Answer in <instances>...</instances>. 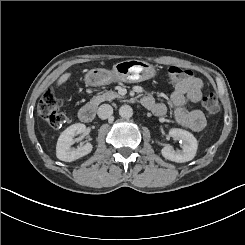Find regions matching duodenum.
<instances>
[{
    "mask_svg": "<svg viewBox=\"0 0 245 245\" xmlns=\"http://www.w3.org/2000/svg\"><path fill=\"white\" fill-rule=\"evenodd\" d=\"M96 115L95 107L87 104L79 110V118L83 122H91Z\"/></svg>",
    "mask_w": 245,
    "mask_h": 245,
    "instance_id": "1",
    "label": "duodenum"
}]
</instances>
